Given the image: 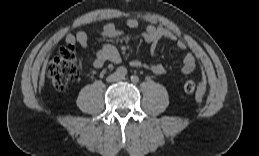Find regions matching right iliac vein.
Returning <instances> with one entry per match:
<instances>
[{
  "label": "right iliac vein",
  "mask_w": 259,
  "mask_h": 156,
  "mask_svg": "<svg viewBox=\"0 0 259 156\" xmlns=\"http://www.w3.org/2000/svg\"><path fill=\"white\" fill-rule=\"evenodd\" d=\"M107 80H108L109 82H115V81L118 80V75H117L116 73L111 74V75L107 78Z\"/></svg>",
  "instance_id": "obj_1"
}]
</instances>
